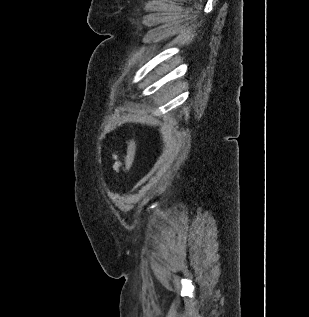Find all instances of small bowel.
Wrapping results in <instances>:
<instances>
[{"label": "small bowel", "mask_w": 309, "mask_h": 317, "mask_svg": "<svg viewBox=\"0 0 309 317\" xmlns=\"http://www.w3.org/2000/svg\"><path fill=\"white\" fill-rule=\"evenodd\" d=\"M113 158L115 159V162H114L113 168H114V170H115V171H118V170H119V168H120V166H121V162L118 160V158H117V155H116V154H114V155H113Z\"/></svg>", "instance_id": "1"}]
</instances>
